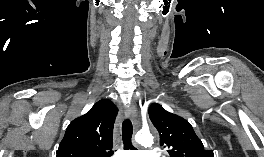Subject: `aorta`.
Returning <instances> with one entry per match:
<instances>
[{
  "mask_svg": "<svg viewBox=\"0 0 264 157\" xmlns=\"http://www.w3.org/2000/svg\"><path fill=\"white\" fill-rule=\"evenodd\" d=\"M136 141L141 144L142 146L148 147L153 142V137L149 133H139L136 136Z\"/></svg>",
  "mask_w": 264,
  "mask_h": 157,
  "instance_id": "obj_1",
  "label": "aorta"
}]
</instances>
